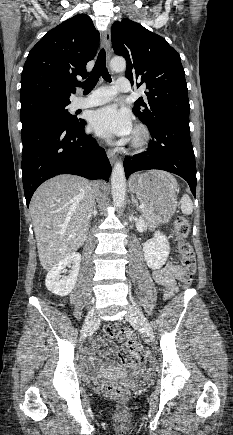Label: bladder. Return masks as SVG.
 <instances>
[{"mask_svg": "<svg viewBox=\"0 0 233 435\" xmlns=\"http://www.w3.org/2000/svg\"><path fill=\"white\" fill-rule=\"evenodd\" d=\"M87 381H88L89 383H95V382H96V380H93V379H87Z\"/></svg>", "mask_w": 233, "mask_h": 435, "instance_id": "1", "label": "bladder"}]
</instances>
